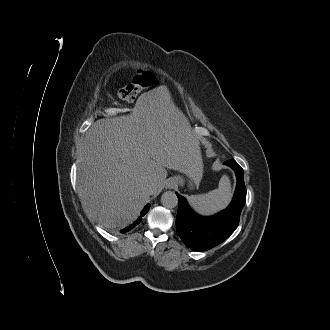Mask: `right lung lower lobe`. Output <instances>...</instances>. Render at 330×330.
Instances as JSON below:
<instances>
[{
    "label": "right lung lower lobe",
    "mask_w": 330,
    "mask_h": 330,
    "mask_svg": "<svg viewBox=\"0 0 330 330\" xmlns=\"http://www.w3.org/2000/svg\"><path fill=\"white\" fill-rule=\"evenodd\" d=\"M149 208H150V205L147 204V205L144 207V209L142 210V212H141L140 215H141V216H144V215L148 212ZM141 220H142V218L139 217V218H138V219H137L132 225H130V226L124 228V229L121 231V233H126V232L130 231V230L133 229L135 226H137V225L141 222Z\"/></svg>",
    "instance_id": "right-lung-lower-lobe-1"
}]
</instances>
